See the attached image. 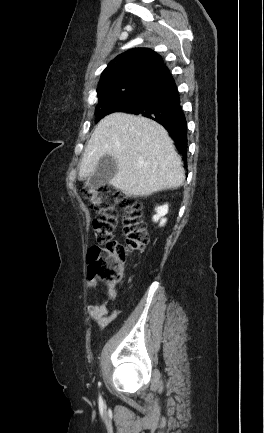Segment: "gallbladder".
Listing matches in <instances>:
<instances>
[{
	"label": "gallbladder",
	"instance_id": "obj_1",
	"mask_svg": "<svg viewBox=\"0 0 264 433\" xmlns=\"http://www.w3.org/2000/svg\"><path fill=\"white\" fill-rule=\"evenodd\" d=\"M118 171L117 160L113 156L104 155L94 173L87 179L86 186L100 188L112 179Z\"/></svg>",
	"mask_w": 264,
	"mask_h": 433
}]
</instances>
